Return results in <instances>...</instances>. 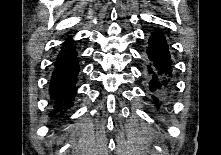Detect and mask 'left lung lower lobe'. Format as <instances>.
<instances>
[{
  "mask_svg": "<svg viewBox=\"0 0 221 155\" xmlns=\"http://www.w3.org/2000/svg\"><path fill=\"white\" fill-rule=\"evenodd\" d=\"M147 54L149 59L150 89L159 92L168 86L169 76L172 71L170 53L165 37L160 31L154 32L150 37ZM153 99L157 104L158 98L153 96Z\"/></svg>",
  "mask_w": 221,
  "mask_h": 155,
  "instance_id": "obj_1",
  "label": "left lung lower lobe"
}]
</instances>
